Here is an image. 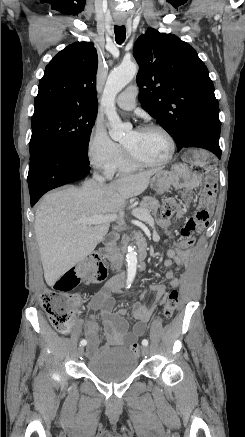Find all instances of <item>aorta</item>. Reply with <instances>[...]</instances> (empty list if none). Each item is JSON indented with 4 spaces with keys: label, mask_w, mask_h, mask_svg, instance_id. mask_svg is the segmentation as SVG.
I'll list each match as a JSON object with an SVG mask.
<instances>
[{
    "label": "aorta",
    "mask_w": 245,
    "mask_h": 437,
    "mask_svg": "<svg viewBox=\"0 0 245 437\" xmlns=\"http://www.w3.org/2000/svg\"><path fill=\"white\" fill-rule=\"evenodd\" d=\"M136 73V64L127 63L120 65L109 73L103 91L102 104L105 107L106 115L109 120V134L110 137L116 141L123 138L129 127L123 124L117 115L114 103L115 97L133 79ZM126 261L127 280L131 282L134 280L137 271V253L134 247L128 248Z\"/></svg>",
    "instance_id": "aorta-1"
}]
</instances>
